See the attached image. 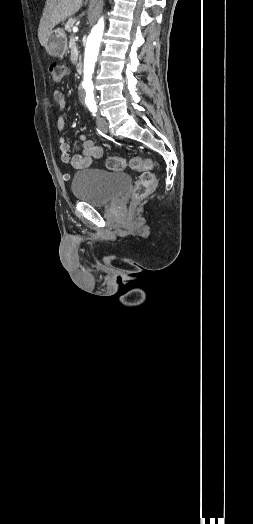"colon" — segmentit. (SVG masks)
<instances>
[{
  "instance_id": "obj_1",
  "label": "colon",
  "mask_w": 253,
  "mask_h": 524,
  "mask_svg": "<svg viewBox=\"0 0 253 524\" xmlns=\"http://www.w3.org/2000/svg\"><path fill=\"white\" fill-rule=\"evenodd\" d=\"M48 72L52 81L59 82L68 73V67L64 63L51 62L48 65ZM106 165L113 171H122L126 164L121 157H111L107 160ZM130 167L137 171H142L132 193L133 202H138L145 198L156 186V177L148 170L152 167L150 159L135 157L130 161Z\"/></svg>"
}]
</instances>
